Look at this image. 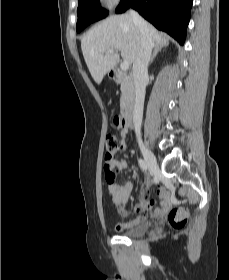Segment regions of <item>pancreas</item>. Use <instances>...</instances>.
<instances>
[{
  "label": "pancreas",
  "instance_id": "pancreas-1",
  "mask_svg": "<svg viewBox=\"0 0 229 280\" xmlns=\"http://www.w3.org/2000/svg\"><path fill=\"white\" fill-rule=\"evenodd\" d=\"M132 83L128 78H123L121 81V98H120V104L121 107L125 105L127 101H129L132 97Z\"/></svg>",
  "mask_w": 229,
  "mask_h": 280
}]
</instances>
